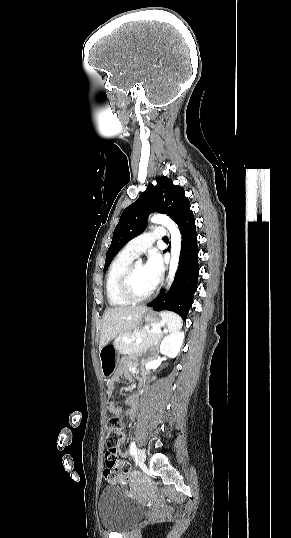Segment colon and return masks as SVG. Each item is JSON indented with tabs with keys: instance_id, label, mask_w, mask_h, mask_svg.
Wrapping results in <instances>:
<instances>
[{
	"instance_id": "colon-1",
	"label": "colon",
	"mask_w": 291,
	"mask_h": 538,
	"mask_svg": "<svg viewBox=\"0 0 291 538\" xmlns=\"http://www.w3.org/2000/svg\"><path fill=\"white\" fill-rule=\"evenodd\" d=\"M123 425L117 415L108 419L106 435V465L104 477L109 483L127 484L130 481V466L117 457L118 443L123 437Z\"/></svg>"
}]
</instances>
